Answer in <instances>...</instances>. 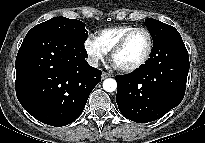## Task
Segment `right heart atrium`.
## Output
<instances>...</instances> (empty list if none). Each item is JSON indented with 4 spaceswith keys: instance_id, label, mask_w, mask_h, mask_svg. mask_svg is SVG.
Here are the masks:
<instances>
[{
    "instance_id": "d8ad5b80",
    "label": "right heart atrium",
    "mask_w": 205,
    "mask_h": 143,
    "mask_svg": "<svg viewBox=\"0 0 205 143\" xmlns=\"http://www.w3.org/2000/svg\"><path fill=\"white\" fill-rule=\"evenodd\" d=\"M84 49L93 64H98L99 62L103 61L106 52L103 48L99 45L96 39L91 36H88L84 41Z\"/></svg>"
}]
</instances>
